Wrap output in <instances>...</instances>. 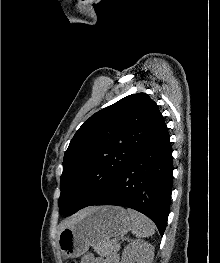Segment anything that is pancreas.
Here are the masks:
<instances>
[{
	"label": "pancreas",
	"instance_id": "obj_1",
	"mask_svg": "<svg viewBox=\"0 0 220 263\" xmlns=\"http://www.w3.org/2000/svg\"><path fill=\"white\" fill-rule=\"evenodd\" d=\"M118 249L116 246V243L114 241H110L109 243L101 245L99 248V251L102 256H109L113 252H115Z\"/></svg>",
	"mask_w": 220,
	"mask_h": 263
}]
</instances>
